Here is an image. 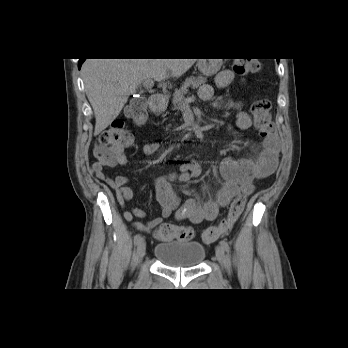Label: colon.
I'll list each match as a JSON object with an SVG mask.
<instances>
[{
    "mask_svg": "<svg viewBox=\"0 0 348 348\" xmlns=\"http://www.w3.org/2000/svg\"><path fill=\"white\" fill-rule=\"evenodd\" d=\"M260 62L256 58H239L233 65L234 72L244 77L260 69ZM252 117L254 126L262 136H269L275 132L271 115V104L267 99H260L253 103ZM126 117L134 124L143 125L147 121L145 100L134 99L126 109ZM132 143L131 132L125 127L123 120L112 123L100 136L95 148V157L99 163L113 165L119 162L124 151ZM245 198H235L228 210L226 217L217 225L204 230L202 239L205 243H213L226 235L234 226L245 207ZM155 236L163 241L179 240L189 241L194 236V231L189 226L162 224L155 230Z\"/></svg>",
    "mask_w": 348,
    "mask_h": 348,
    "instance_id": "1",
    "label": "colon"
}]
</instances>
